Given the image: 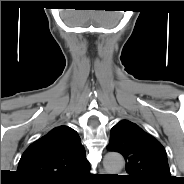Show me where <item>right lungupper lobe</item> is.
Returning <instances> with one entry per match:
<instances>
[{
	"instance_id": "obj_1",
	"label": "right lung upper lobe",
	"mask_w": 184,
	"mask_h": 184,
	"mask_svg": "<svg viewBox=\"0 0 184 184\" xmlns=\"http://www.w3.org/2000/svg\"><path fill=\"white\" fill-rule=\"evenodd\" d=\"M88 169L79 135L63 125L53 128L26 149L17 172L28 182L55 184L74 181Z\"/></svg>"
}]
</instances>
